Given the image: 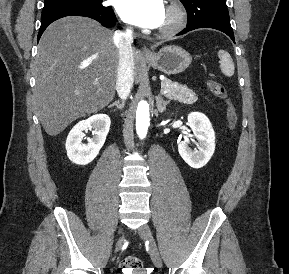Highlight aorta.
<instances>
[{
  "label": "aorta",
  "instance_id": "1",
  "mask_svg": "<svg viewBox=\"0 0 289 274\" xmlns=\"http://www.w3.org/2000/svg\"><path fill=\"white\" fill-rule=\"evenodd\" d=\"M149 105L146 101H140L136 111V132L139 138L144 139L149 127Z\"/></svg>",
  "mask_w": 289,
  "mask_h": 274
}]
</instances>
